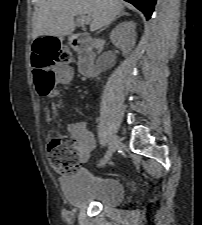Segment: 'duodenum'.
Wrapping results in <instances>:
<instances>
[{"label": "duodenum", "instance_id": "obj_1", "mask_svg": "<svg viewBox=\"0 0 202 225\" xmlns=\"http://www.w3.org/2000/svg\"><path fill=\"white\" fill-rule=\"evenodd\" d=\"M63 39L68 40L77 53L79 72L86 77L93 76L95 74L96 53L92 41L79 33H70Z\"/></svg>", "mask_w": 202, "mask_h": 225}]
</instances>
